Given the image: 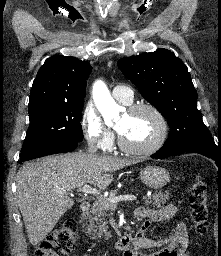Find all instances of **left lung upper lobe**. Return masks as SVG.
<instances>
[{
    "label": "left lung upper lobe",
    "mask_w": 221,
    "mask_h": 256,
    "mask_svg": "<svg viewBox=\"0 0 221 256\" xmlns=\"http://www.w3.org/2000/svg\"><path fill=\"white\" fill-rule=\"evenodd\" d=\"M118 67L168 120L170 132L164 145L211 137L197 109V92L187 67L173 52L160 48L126 57Z\"/></svg>",
    "instance_id": "left-lung-upper-lobe-1"
}]
</instances>
